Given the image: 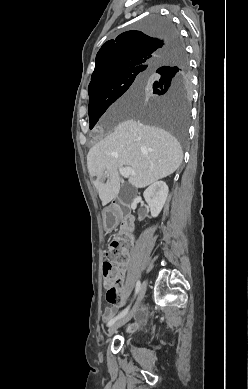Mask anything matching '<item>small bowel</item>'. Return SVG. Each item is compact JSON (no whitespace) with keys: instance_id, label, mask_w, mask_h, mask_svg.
<instances>
[{"instance_id":"1","label":"small bowel","mask_w":248,"mask_h":389,"mask_svg":"<svg viewBox=\"0 0 248 389\" xmlns=\"http://www.w3.org/2000/svg\"><path fill=\"white\" fill-rule=\"evenodd\" d=\"M120 269H121V272L123 273V269L122 268H120ZM104 284H105V282H104ZM124 302L125 301H123L122 303H124ZM117 309H118V306L116 304H111V306H108L103 313V320L105 322H107V321H110L111 319H113L114 315L117 312ZM145 316H146V313L144 311H141L138 313V317L140 319L145 318Z\"/></svg>"}]
</instances>
